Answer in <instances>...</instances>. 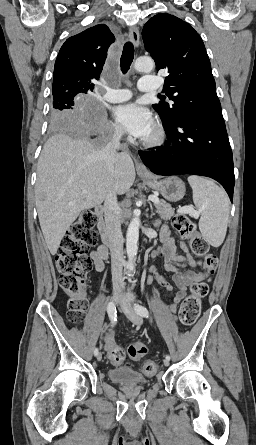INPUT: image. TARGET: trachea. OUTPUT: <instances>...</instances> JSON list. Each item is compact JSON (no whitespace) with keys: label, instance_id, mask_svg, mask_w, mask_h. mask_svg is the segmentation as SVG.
Segmentation results:
<instances>
[{"label":"trachea","instance_id":"trachea-1","mask_svg":"<svg viewBox=\"0 0 256 445\" xmlns=\"http://www.w3.org/2000/svg\"><path fill=\"white\" fill-rule=\"evenodd\" d=\"M134 59V47L131 42H126L120 59L122 73H127Z\"/></svg>","mask_w":256,"mask_h":445}]
</instances>
